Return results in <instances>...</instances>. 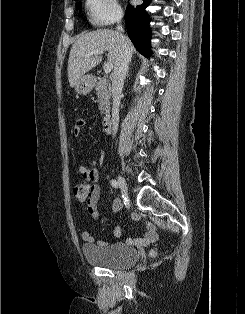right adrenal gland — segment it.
Instances as JSON below:
<instances>
[{"label":"right adrenal gland","instance_id":"right-adrenal-gland-1","mask_svg":"<svg viewBox=\"0 0 245 314\" xmlns=\"http://www.w3.org/2000/svg\"><path fill=\"white\" fill-rule=\"evenodd\" d=\"M126 76H127V77L129 76V75H128V71H127V75H126Z\"/></svg>","mask_w":245,"mask_h":314}]
</instances>
